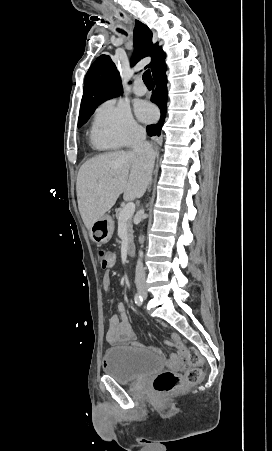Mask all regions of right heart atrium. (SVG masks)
Segmentation results:
<instances>
[{
	"label": "right heart atrium",
	"instance_id": "right-heart-atrium-1",
	"mask_svg": "<svg viewBox=\"0 0 272 451\" xmlns=\"http://www.w3.org/2000/svg\"><path fill=\"white\" fill-rule=\"evenodd\" d=\"M140 130L127 106L108 101L97 108L91 132L96 144L127 146Z\"/></svg>",
	"mask_w": 272,
	"mask_h": 451
}]
</instances>
